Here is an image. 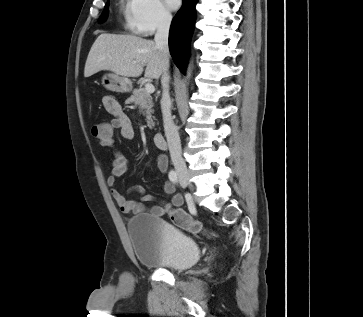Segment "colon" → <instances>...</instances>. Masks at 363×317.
Wrapping results in <instances>:
<instances>
[{
  "label": "colon",
  "instance_id": "1",
  "mask_svg": "<svg viewBox=\"0 0 363 317\" xmlns=\"http://www.w3.org/2000/svg\"><path fill=\"white\" fill-rule=\"evenodd\" d=\"M102 124H94L92 126V134L94 136L99 134L100 125ZM169 217L177 227L183 230L191 233H200L203 231V225L199 221L193 219L189 214L180 209L172 208L169 211Z\"/></svg>",
  "mask_w": 363,
  "mask_h": 317
}]
</instances>
